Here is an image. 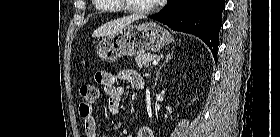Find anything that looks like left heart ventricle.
Masks as SVG:
<instances>
[{
	"instance_id": "b2bd125f",
	"label": "left heart ventricle",
	"mask_w": 280,
	"mask_h": 137,
	"mask_svg": "<svg viewBox=\"0 0 280 137\" xmlns=\"http://www.w3.org/2000/svg\"><path fill=\"white\" fill-rule=\"evenodd\" d=\"M130 4L134 7H148L150 5H152L153 3H155V0H129ZM152 28H157L160 26H151Z\"/></svg>"
}]
</instances>
